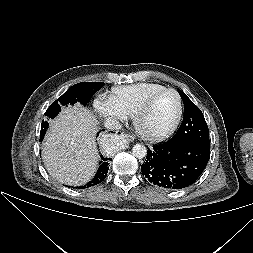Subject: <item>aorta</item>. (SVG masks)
Returning a JSON list of instances; mask_svg holds the SVG:
<instances>
[{"mask_svg":"<svg viewBox=\"0 0 253 253\" xmlns=\"http://www.w3.org/2000/svg\"><path fill=\"white\" fill-rule=\"evenodd\" d=\"M113 149H115V146L113 145ZM132 154L138 158V159H142L147 155V149L144 145L141 144H136L134 145L133 149H132Z\"/></svg>","mask_w":253,"mask_h":253,"instance_id":"obj_1","label":"aorta"}]
</instances>
